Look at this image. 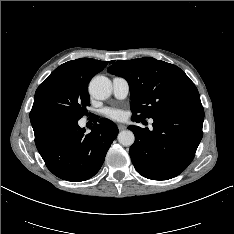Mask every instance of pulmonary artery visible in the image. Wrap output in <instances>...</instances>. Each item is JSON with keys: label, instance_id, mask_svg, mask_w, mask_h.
<instances>
[{"label": "pulmonary artery", "instance_id": "pulmonary-artery-1", "mask_svg": "<svg viewBox=\"0 0 234 234\" xmlns=\"http://www.w3.org/2000/svg\"><path fill=\"white\" fill-rule=\"evenodd\" d=\"M112 85H113V93L116 98L118 99H124L129 94V83L128 81L123 77H114L112 79Z\"/></svg>", "mask_w": 234, "mask_h": 234}]
</instances>
